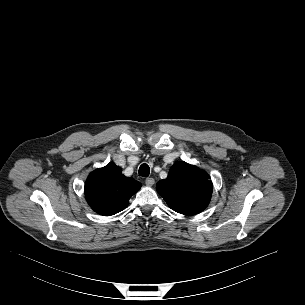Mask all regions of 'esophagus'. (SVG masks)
Here are the masks:
<instances>
[{
  "mask_svg": "<svg viewBox=\"0 0 305 305\" xmlns=\"http://www.w3.org/2000/svg\"><path fill=\"white\" fill-rule=\"evenodd\" d=\"M145 183H146L147 186L151 187V186L154 185L155 180H154L153 178H147V179L145 180Z\"/></svg>",
  "mask_w": 305,
  "mask_h": 305,
  "instance_id": "obj_1",
  "label": "esophagus"
}]
</instances>
